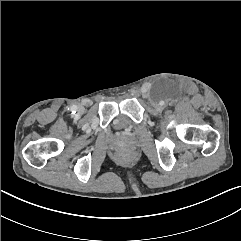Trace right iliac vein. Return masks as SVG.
Returning <instances> with one entry per match:
<instances>
[{
	"label": "right iliac vein",
	"mask_w": 241,
	"mask_h": 241,
	"mask_svg": "<svg viewBox=\"0 0 241 241\" xmlns=\"http://www.w3.org/2000/svg\"><path fill=\"white\" fill-rule=\"evenodd\" d=\"M84 109L82 107L79 108V112L82 113Z\"/></svg>",
	"instance_id": "63e3f726"
}]
</instances>
